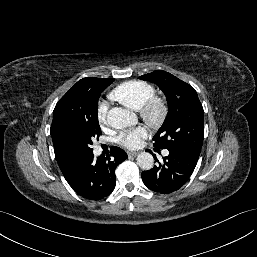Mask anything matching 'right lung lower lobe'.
Returning <instances> with one entry per match:
<instances>
[{
    "label": "right lung lower lobe",
    "mask_w": 257,
    "mask_h": 257,
    "mask_svg": "<svg viewBox=\"0 0 257 257\" xmlns=\"http://www.w3.org/2000/svg\"><path fill=\"white\" fill-rule=\"evenodd\" d=\"M124 150L112 147L111 158L93 153L81 158L65 176L72 189L83 198L100 200L110 195L115 187V169L127 158Z\"/></svg>",
    "instance_id": "right-lung-lower-lobe-1"
}]
</instances>
